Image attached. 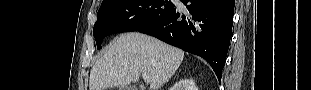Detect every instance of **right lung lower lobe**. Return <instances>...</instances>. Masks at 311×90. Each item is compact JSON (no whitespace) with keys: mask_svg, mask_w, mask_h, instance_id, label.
<instances>
[{"mask_svg":"<svg viewBox=\"0 0 311 90\" xmlns=\"http://www.w3.org/2000/svg\"><path fill=\"white\" fill-rule=\"evenodd\" d=\"M188 12L173 8L156 23L138 30L205 58L221 80L234 14V0H181Z\"/></svg>","mask_w":311,"mask_h":90,"instance_id":"right-lung-lower-lobe-1","label":"right lung lower lobe"}]
</instances>
